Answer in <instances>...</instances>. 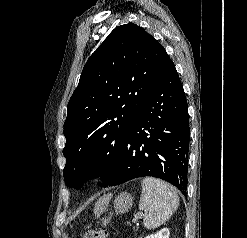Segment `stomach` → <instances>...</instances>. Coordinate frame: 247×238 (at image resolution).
I'll list each match as a JSON object with an SVG mask.
<instances>
[{
	"instance_id": "obj_1",
	"label": "stomach",
	"mask_w": 247,
	"mask_h": 238,
	"mask_svg": "<svg viewBox=\"0 0 247 238\" xmlns=\"http://www.w3.org/2000/svg\"><path fill=\"white\" fill-rule=\"evenodd\" d=\"M133 205V197L131 194L124 192L118 195L114 200V211L116 214L127 212ZM111 215L102 219V225L106 226L111 221Z\"/></svg>"
}]
</instances>
